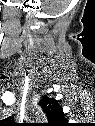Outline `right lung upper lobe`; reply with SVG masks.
Segmentation results:
<instances>
[{"label":"right lung upper lobe","instance_id":"obj_1","mask_svg":"<svg viewBox=\"0 0 95 126\" xmlns=\"http://www.w3.org/2000/svg\"><path fill=\"white\" fill-rule=\"evenodd\" d=\"M39 104L43 108L44 113L48 119V125L50 126H64L66 125V119L64 113L58 102L48 96H42Z\"/></svg>","mask_w":95,"mask_h":126}]
</instances>
